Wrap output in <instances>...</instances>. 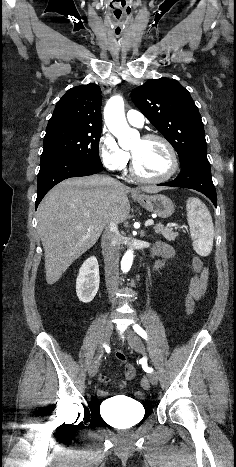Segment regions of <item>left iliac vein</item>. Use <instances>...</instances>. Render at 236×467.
Returning a JSON list of instances; mask_svg holds the SVG:
<instances>
[{
    "instance_id": "left-iliac-vein-1",
    "label": "left iliac vein",
    "mask_w": 236,
    "mask_h": 467,
    "mask_svg": "<svg viewBox=\"0 0 236 467\" xmlns=\"http://www.w3.org/2000/svg\"><path fill=\"white\" fill-rule=\"evenodd\" d=\"M127 340L133 350L136 352L144 353V344L141 338L134 331L128 330ZM148 378L152 385H157L158 375L155 371L150 372L148 374Z\"/></svg>"
}]
</instances>
